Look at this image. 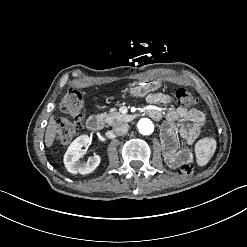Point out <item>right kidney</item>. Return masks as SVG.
<instances>
[{
  "label": "right kidney",
  "instance_id": "right-kidney-1",
  "mask_svg": "<svg viewBox=\"0 0 247 247\" xmlns=\"http://www.w3.org/2000/svg\"><path fill=\"white\" fill-rule=\"evenodd\" d=\"M90 143L91 138L88 135H81L70 144L63 159L68 172L84 175L93 172L98 167L101 160L99 155L89 157L87 162H81L79 160L82 147H88Z\"/></svg>",
  "mask_w": 247,
  "mask_h": 247
}]
</instances>
